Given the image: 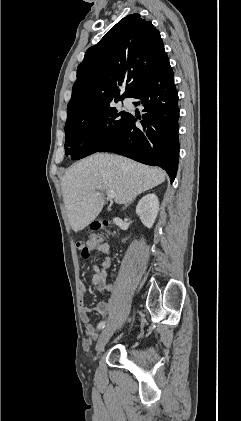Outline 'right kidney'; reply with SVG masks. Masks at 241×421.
I'll return each instance as SVG.
<instances>
[{
  "instance_id": "obj_1",
  "label": "right kidney",
  "mask_w": 241,
  "mask_h": 421,
  "mask_svg": "<svg viewBox=\"0 0 241 421\" xmlns=\"http://www.w3.org/2000/svg\"><path fill=\"white\" fill-rule=\"evenodd\" d=\"M158 211L159 201L155 194H147L136 206V214L147 228H151L153 226L158 215Z\"/></svg>"
}]
</instances>
